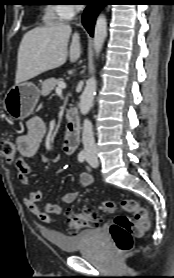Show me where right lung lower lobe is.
<instances>
[{"label": "right lung lower lobe", "mask_w": 174, "mask_h": 278, "mask_svg": "<svg viewBox=\"0 0 174 278\" xmlns=\"http://www.w3.org/2000/svg\"><path fill=\"white\" fill-rule=\"evenodd\" d=\"M106 2V0H87L88 6L84 10L82 23L91 36L94 32V24L98 12L107 4Z\"/></svg>", "instance_id": "obj_1"}]
</instances>
